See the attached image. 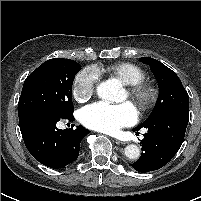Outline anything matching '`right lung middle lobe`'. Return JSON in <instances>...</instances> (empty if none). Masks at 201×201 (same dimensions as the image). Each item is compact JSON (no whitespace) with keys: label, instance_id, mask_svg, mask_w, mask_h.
I'll return each instance as SVG.
<instances>
[{"label":"right lung middle lobe","instance_id":"dd1d6c3e","mask_svg":"<svg viewBox=\"0 0 201 201\" xmlns=\"http://www.w3.org/2000/svg\"><path fill=\"white\" fill-rule=\"evenodd\" d=\"M81 65L71 59L45 61L25 80L18 103V116L48 110L60 117L73 114L72 83Z\"/></svg>","mask_w":201,"mask_h":201}]
</instances>
